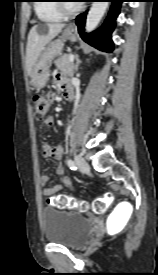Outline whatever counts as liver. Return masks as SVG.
I'll list each match as a JSON object with an SVG mask.
<instances>
[{
	"instance_id": "1",
	"label": "liver",
	"mask_w": 158,
	"mask_h": 275,
	"mask_svg": "<svg viewBox=\"0 0 158 275\" xmlns=\"http://www.w3.org/2000/svg\"><path fill=\"white\" fill-rule=\"evenodd\" d=\"M64 27L65 24L62 23H47L31 28L26 47V63L29 75H31L32 68L44 46L55 38Z\"/></svg>"
}]
</instances>
